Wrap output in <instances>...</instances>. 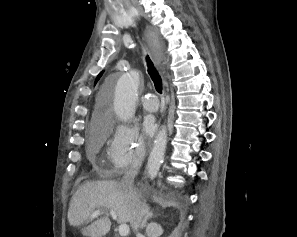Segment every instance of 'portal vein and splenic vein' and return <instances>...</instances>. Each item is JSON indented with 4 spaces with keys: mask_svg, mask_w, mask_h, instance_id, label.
I'll return each instance as SVG.
<instances>
[{
    "mask_svg": "<svg viewBox=\"0 0 297 237\" xmlns=\"http://www.w3.org/2000/svg\"><path fill=\"white\" fill-rule=\"evenodd\" d=\"M100 213H101V210H100V209H97V210H95V211L92 213V217H96V216H98ZM109 214L112 216V218H113L114 220H117V214H116L114 211L110 210V211H109ZM129 231H130V229H129V226H128L127 224H121V225L119 226V234H120V236H122V237H126V236L129 234Z\"/></svg>",
    "mask_w": 297,
    "mask_h": 237,
    "instance_id": "1",
    "label": "portal vein and splenic vein"
}]
</instances>
